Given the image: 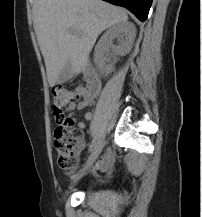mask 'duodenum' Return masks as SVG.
Here are the masks:
<instances>
[{
  "label": "duodenum",
  "instance_id": "obj_1",
  "mask_svg": "<svg viewBox=\"0 0 202 217\" xmlns=\"http://www.w3.org/2000/svg\"><path fill=\"white\" fill-rule=\"evenodd\" d=\"M101 88V83L96 75V73L92 69H88L87 71V84H86V90L88 94L94 95L99 93Z\"/></svg>",
  "mask_w": 202,
  "mask_h": 217
}]
</instances>
